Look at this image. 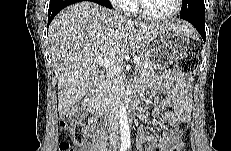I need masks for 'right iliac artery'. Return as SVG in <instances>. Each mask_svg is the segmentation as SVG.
Masks as SVG:
<instances>
[{
  "label": "right iliac artery",
  "mask_w": 231,
  "mask_h": 151,
  "mask_svg": "<svg viewBox=\"0 0 231 151\" xmlns=\"http://www.w3.org/2000/svg\"><path fill=\"white\" fill-rule=\"evenodd\" d=\"M126 147L125 146H121L120 151H125Z\"/></svg>",
  "instance_id": "obj_1"
}]
</instances>
